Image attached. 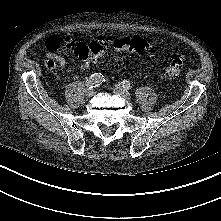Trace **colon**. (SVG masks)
<instances>
[{"instance_id":"colon-1","label":"colon","mask_w":221,"mask_h":221,"mask_svg":"<svg viewBox=\"0 0 221 221\" xmlns=\"http://www.w3.org/2000/svg\"><path fill=\"white\" fill-rule=\"evenodd\" d=\"M149 44L140 36L112 39L101 37L91 42L80 51V58L85 64L98 61L109 48L116 52H131L141 54L148 50ZM185 58L181 54L173 56L166 68L165 74L168 77H177L184 69Z\"/></svg>"}]
</instances>
